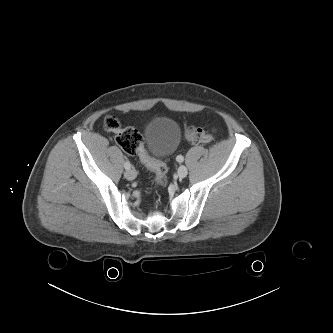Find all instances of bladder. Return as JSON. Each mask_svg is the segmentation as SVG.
<instances>
[{
    "mask_svg": "<svg viewBox=\"0 0 333 333\" xmlns=\"http://www.w3.org/2000/svg\"><path fill=\"white\" fill-rule=\"evenodd\" d=\"M145 150L153 160L171 154L181 139V129L178 123L168 117L153 119L145 129Z\"/></svg>",
    "mask_w": 333,
    "mask_h": 333,
    "instance_id": "obj_1",
    "label": "bladder"
}]
</instances>
